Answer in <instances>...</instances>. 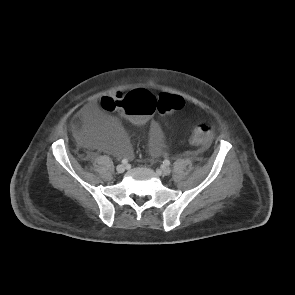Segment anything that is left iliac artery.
<instances>
[{"mask_svg":"<svg viewBox=\"0 0 295 295\" xmlns=\"http://www.w3.org/2000/svg\"><path fill=\"white\" fill-rule=\"evenodd\" d=\"M163 163H164V165H166V166H169V165H170V161H169V160H167V159H166V160H164V161H163Z\"/></svg>","mask_w":295,"mask_h":295,"instance_id":"obj_1","label":"left iliac artery"}]
</instances>
